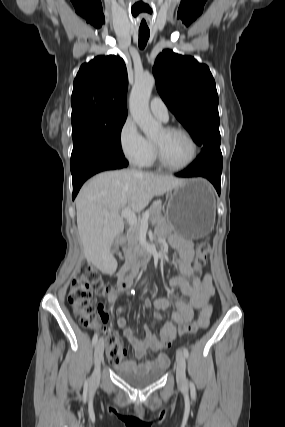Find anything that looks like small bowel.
<instances>
[{
  "instance_id": "small-bowel-1",
  "label": "small bowel",
  "mask_w": 285,
  "mask_h": 427,
  "mask_svg": "<svg viewBox=\"0 0 285 427\" xmlns=\"http://www.w3.org/2000/svg\"><path fill=\"white\" fill-rule=\"evenodd\" d=\"M169 241L177 252L175 263L181 274L180 276L171 278L169 280V285L179 288L181 293L186 296L188 300L183 301L171 295H168L166 298L156 299L154 302L145 300L143 303L144 307L150 308L153 306L157 310L153 315L155 320L161 319L159 311L169 312L171 319L164 323L158 333L152 332L148 326H145L144 340L135 337L133 328L127 325L124 317H118L115 322L116 326L122 329V334L131 345L135 356L139 359H143L149 352L156 356L154 359H145L142 363H135L132 361L123 362L122 358L126 355V351L121 349L118 360L109 359V361L116 366L128 370H135L139 373H144L154 367L167 368L169 359L166 354L161 353V350L169 339H174L176 337L175 324L183 326L190 323L194 316V310L198 309L200 327L206 328L209 325L212 314L210 300L214 295L212 277L207 272L202 276L194 275V247L191 241L178 235H171ZM188 278H191L192 281L189 282ZM132 281L133 279H131L130 282H125L118 278L116 285L108 294V300L110 302H116L120 293L132 285ZM99 312L104 322L110 321V316L105 311L103 305H99ZM116 312L121 315L124 312V308L118 307Z\"/></svg>"
}]
</instances>
